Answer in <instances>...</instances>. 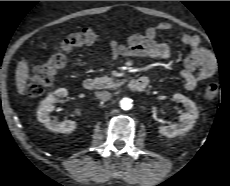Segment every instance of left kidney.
<instances>
[{
	"mask_svg": "<svg viewBox=\"0 0 230 186\" xmlns=\"http://www.w3.org/2000/svg\"><path fill=\"white\" fill-rule=\"evenodd\" d=\"M173 98L175 101L184 104L186 112L181 114L179 118L180 123L159 127V133L169 138L188 132L193 128L196 119L198 118V109L193 101L178 93L174 94Z\"/></svg>",
	"mask_w": 230,
	"mask_h": 186,
	"instance_id": "5707ae66",
	"label": "left kidney"
}]
</instances>
